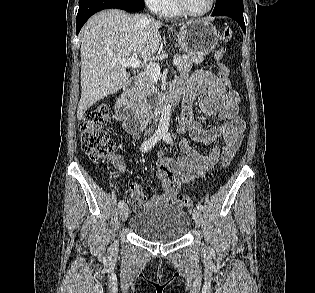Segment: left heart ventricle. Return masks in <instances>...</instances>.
I'll list each match as a JSON object with an SVG mask.
<instances>
[{
  "label": "left heart ventricle",
  "mask_w": 315,
  "mask_h": 293,
  "mask_svg": "<svg viewBox=\"0 0 315 293\" xmlns=\"http://www.w3.org/2000/svg\"><path fill=\"white\" fill-rule=\"evenodd\" d=\"M186 7L193 12H201L209 5V0H184Z\"/></svg>",
  "instance_id": "left-heart-ventricle-1"
}]
</instances>
